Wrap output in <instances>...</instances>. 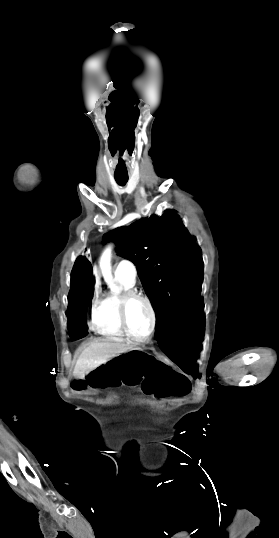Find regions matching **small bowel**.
I'll return each instance as SVG.
<instances>
[{
  "label": "small bowel",
  "mask_w": 279,
  "mask_h": 538,
  "mask_svg": "<svg viewBox=\"0 0 279 538\" xmlns=\"http://www.w3.org/2000/svg\"><path fill=\"white\" fill-rule=\"evenodd\" d=\"M141 388L147 395L159 400L183 398L190 392V381L171 369H158L146 374Z\"/></svg>",
  "instance_id": "obj_1"
}]
</instances>
